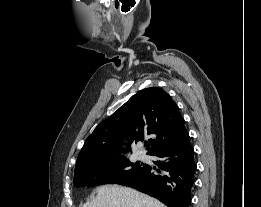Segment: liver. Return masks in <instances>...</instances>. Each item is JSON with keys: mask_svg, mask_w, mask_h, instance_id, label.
<instances>
[{"mask_svg": "<svg viewBox=\"0 0 261 207\" xmlns=\"http://www.w3.org/2000/svg\"><path fill=\"white\" fill-rule=\"evenodd\" d=\"M95 192L96 197L83 207H166L155 198L119 185L100 186Z\"/></svg>", "mask_w": 261, "mask_h": 207, "instance_id": "liver-1", "label": "liver"}]
</instances>
